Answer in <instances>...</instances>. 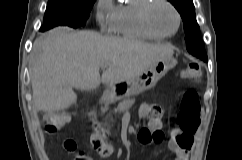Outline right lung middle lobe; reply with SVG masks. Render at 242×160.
I'll return each mask as SVG.
<instances>
[{
  "label": "right lung middle lobe",
  "mask_w": 242,
  "mask_h": 160,
  "mask_svg": "<svg viewBox=\"0 0 242 160\" xmlns=\"http://www.w3.org/2000/svg\"><path fill=\"white\" fill-rule=\"evenodd\" d=\"M95 0H48L40 31L59 25L84 26Z\"/></svg>",
  "instance_id": "dd1d6c3e"
}]
</instances>
